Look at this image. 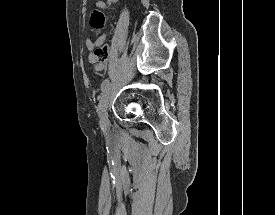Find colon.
Returning a JSON list of instances; mask_svg holds the SVG:
<instances>
[{
	"label": "colon",
	"instance_id": "1",
	"mask_svg": "<svg viewBox=\"0 0 275 215\" xmlns=\"http://www.w3.org/2000/svg\"><path fill=\"white\" fill-rule=\"evenodd\" d=\"M107 5L112 3L114 0H103ZM90 26L93 30L100 29L104 24V15L99 10H94L90 16L89 20ZM94 55L96 59L101 63H107L108 61V49L106 46L99 45L95 51Z\"/></svg>",
	"mask_w": 275,
	"mask_h": 215
}]
</instances>
